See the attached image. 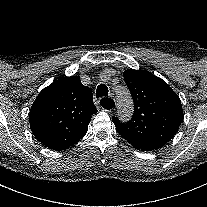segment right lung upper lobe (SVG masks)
Returning a JSON list of instances; mask_svg holds the SVG:
<instances>
[{
    "label": "right lung upper lobe",
    "mask_w": 207,
    "mask_h": 207,
    "mask_svg": "<svg viewBox=\"0 0 207 207\" xmlns=\"http://www.w3.org/2000/svg\"><path fill=\"white\" fill-rule=\"evenodd\" d=\"M96 112L92 91L80 77H62L39 93L30 109L29 122L45 147L60 151L84 137Z\"/></svg>",
    "instance_id": "right-lung-upper-lobe-1"
}]
</instances>
